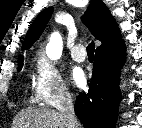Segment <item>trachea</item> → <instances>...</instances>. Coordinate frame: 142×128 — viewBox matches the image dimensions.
Wrapping results in <instances>:
<instances>
[{
	"label": "trachea",
	"mask_w": 142,
	"mask_h": 128,
	"mask_svg": "<svg viewBox=\"0 0 142 128\" xmlns=\"http://www.w3.org/2000/svg\"><path fill=\"white\" fill-rule=\"evenodd\" d=\"M94 49H95V45L94 42L92 41L88 46H87V54L89 58H93L94 57Z\"/></svg>",
	"instance_id": "3493384b"
}]
</instances>
